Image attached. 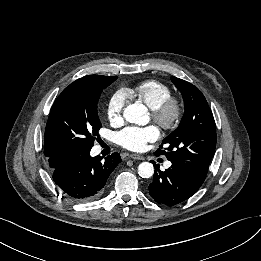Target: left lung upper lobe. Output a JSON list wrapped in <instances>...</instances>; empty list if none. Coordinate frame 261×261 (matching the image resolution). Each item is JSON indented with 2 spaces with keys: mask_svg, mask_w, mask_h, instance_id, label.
Instances as JSON below:
<instances>
[{
  "mask_svg": "<svg viewBox=\"0 0 261 261\" xmlns=\"http://www.w3.org/2000/svg\"><path fill=\"white\" fill-rule=\"evenodd\" d=\"M171 80L183 96L185 113L179 127L162 141L155 154H165L172 163L205 179L216 146L213 114L197 87L176 77ZM163 145L167 151L162 150Z\"/></svg>",
  "mask_w": 261,
  "mask_h": 261,
  "instance_id": "5c2ea615",
  "label": "left lung upper lobe"
}]
</instances>
